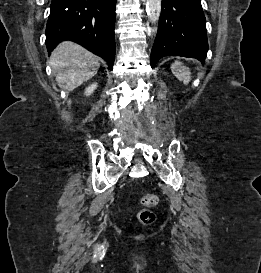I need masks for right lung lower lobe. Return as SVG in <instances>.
Instances as JSON below:
<instances>
[{
  "label": "right lung lower lobe",
  "mask_w": 261,
  "mask_h": 273,
  "mask_svg": "<svg viewBox=\"0 0 261 273\" xmlns=\"http://www.w3.org/2000/svg\"><path fill=\"white\" fill-rule=\"evenodd\" d=\"M116 0H52L46 26L50 53L63 40L74 41L113 68Z\"/></svg>",
  "instance_id": "right-lung-lower-lobe-1"
}]
</instances>
